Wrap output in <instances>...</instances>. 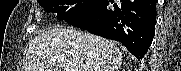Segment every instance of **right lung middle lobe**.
<instances>
[{
	"label": "right lung middle lobe",
	"mask_w": 181,
	"mask_h": 71,
	"mask_svg": "<svg viewBox=\"0 0 181 71\" xmlns=\"http://www.w3.org/2000/svg\"><path fill=\"white\" fill-rule=\"evenodd\" d=\"M39 4L47 11L57 13V18L65 20L91 7L96 0H40Z\"/></svg>",
	"instance_id": "1"
}]
</instances>
